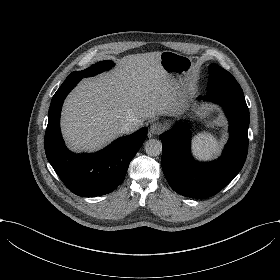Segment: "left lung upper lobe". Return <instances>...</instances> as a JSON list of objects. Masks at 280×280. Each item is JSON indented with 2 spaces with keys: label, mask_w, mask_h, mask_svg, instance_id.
I'll use <instances>...</instances> for the list:
<instances>
[{
  "label": "left lung upper lobe",
  "mask_w": 280,
  "mask_h": 280,
  "mask_svg": "<svg viewBox=\"0 0 280 280\" xmlns=\"http://www.w3.org/2000/svg\"><path fill=\"white\" fill-rule=\"evenodd\" d=\"M209 71L208 90L237 82L233 75L217 64H211Z\"/></svg>",
  "instance_id": "1"
}]
</instances>
